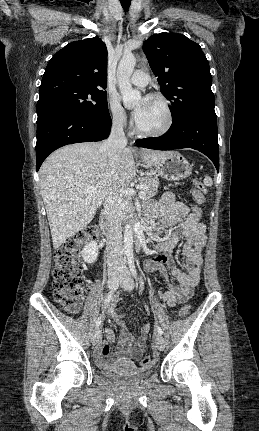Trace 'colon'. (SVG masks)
Listing matches in <instances>:
<instances>
[{
	"label": "colon",
	"mask_w": 259,
	"mask_h": 431,
	"mask_svg": "<svg viewBox=\"0 0 259 431\" xmlns=\"http://www.w3.org/2000/svg\"><path fill=\"white\" fill-rule=\"evenodd\" d=\"M206 187L199 180H194L192 196L196 202L192 203L191 208L193 217L201 219L202 211L199 204L205 201ZM99 235L95 227H90L76 237L68 239L55 253L53 286L54 298L56 302L66 311L77 313L84 292V278L80 264V254L82 248L89 242L94 241ZM189 303L184 304L179 311L181 317H186L190 312ZM152 360L145 356L141 360L142 366H149Z\"/></svg>",
	"instance_id": "1"
}]
</instances>
